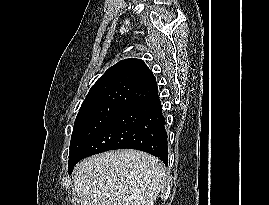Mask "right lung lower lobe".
<instances>
[{
	"label": "right lung lower lobe",
	"instance_id": "right-lung-lower-lobe-1",
	"mask_svg": "<svg viewBox=\"0 0 269 205\" xmlns=\"http://www.w3.org/2000/svg\"><path fill=\"white\" fill-rule=\"evenodd\" d=\"M124 148L148 152L168 165L165 118L158 95L129 106L113 117L81 149L76 163L97 153Z\"/></svg>",
	"mask_w": 269,
	"mask_h": 205
}]
</instances>
